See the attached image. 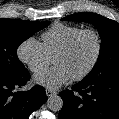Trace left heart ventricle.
<instances>
[{"label": "left heart ventricle", "instance_id": "b2bd125f", "mask_svg": "<svg viewBox=\"0 0 119 119\" xmlns=\"http://www.w3.org/2000/svg\"><path fill=\"white\" fill-rule=\"evenodd\" d=\"M96 50V42L92 35H82L71 51L53 60L54 64L65 68L71 77L82 73L92 61Z\"/></svg>", "mask_w": 119, "mask_h": 119}]
</instances>
